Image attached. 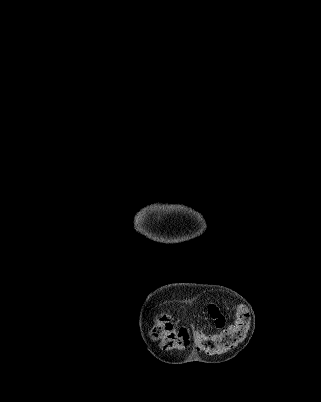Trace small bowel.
<instances>
[{"label":"small bowel","instance_id":"c3829d8e","mask_svg":"<svg viewBox=\"0 0 321 402\" xmlns=\"http://www.w3.org/2000/svg\"><path fill=\"white\" fill-rule=\"evenodd\" d=\"M207 311L217 328H223L225 326L226 319L216 304L209 303Z\"/></svg>","mask_w":321,"mask_h":402}]
</instances>
